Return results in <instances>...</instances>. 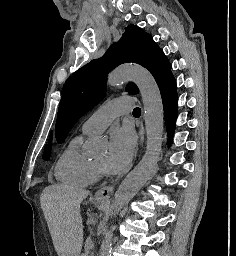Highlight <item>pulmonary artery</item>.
<instances>
[{"mask_svg": "<svg viewBox=\"0 0 236 256\" xmlns=\"http://www.w3.org/2000/svg\"><path fill=\"white\" fill-rule=\"evenodd\" d=\"M132 100V96H117V101H107L106 107H100L82 124V134L92 135L101 133L115 117L128 115L129 109L133 108Z\"/></svg>", "mask_w": 236, "mask_h": 256, "instance_id": "pulmonary-artery-1", "label": "pulmonary artery"}]
</instances>
